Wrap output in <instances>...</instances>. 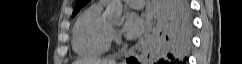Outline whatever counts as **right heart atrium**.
<instances>
[{
  "instance_id": "1",
  "label": "right heart atrium",
  "mask_w": 242,
  "mask_h": 64,
  "mask_svg": "<svg viewBox=\"0 0 242 64\" xmlns=\"http://www.w3.org/2000/svg\"><path fill=\"white\" fill-rule=\"evenodd\" d=\"M110 39L111 41H119L120 39L119 33L116 30L112 29L110 31Z\"/></svg>"
}]
</instances>
